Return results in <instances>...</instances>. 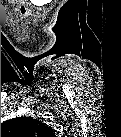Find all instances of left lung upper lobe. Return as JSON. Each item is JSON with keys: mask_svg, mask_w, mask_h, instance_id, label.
<instances>
[{"mask_svg": "<svg viewBox=\"0 0 121 137\" xmlns=\"http://www.w3.org/2000/svg\"><path fill=\"white\" fill-rule=\"evenodd\" d=\"M1 134L20 137H46L53 134L45 123L32 117H16L1 124Z\"/></svg>", "mask_w": 121, "mask_h": 137, "instance_id": "left-lung-upper-lobe-1", "label": "left lung upper lobe"}]
</instances>
